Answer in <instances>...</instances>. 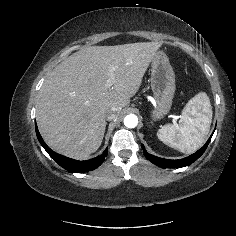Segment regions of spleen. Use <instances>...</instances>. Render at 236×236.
Returning <instances> with one entry per match:
<instances>
[{"instance_id":"1","label":"spleen","mask_w":236,"mask_h":236,"mask_svg":"<svg viewBox=\"0 0 236 236\" xmlns=\"http://www.w3.org/2000/svg\"><path fill=\"white\" fill-rule=\"evenodd\" d=\"M212 108L206 93L195 95L185 105L179 124L160 128L157 137L171 148L183 153H193L204 142L210 130Z\"/></svg>"}]
</instances>
